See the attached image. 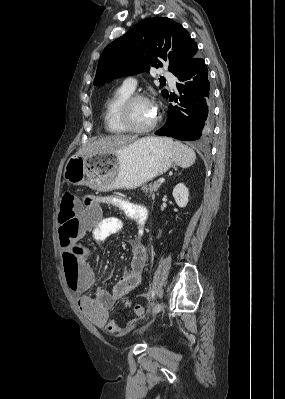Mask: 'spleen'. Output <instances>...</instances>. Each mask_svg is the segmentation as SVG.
<instances>
[{
    "label": "spleen",
    "instance_id": "3e777b00",
    "mask_svg": "<svg viewBox=\"0 0 285 399\" xmlns=\"http://www.w3.org/2000/svg\"><path fill=\"white\" fill-rule=\"evenodd\" d=\"M169 140V139H168ZM174 151L175 163L182 168H188L195 163L196 154L190 147L182 144L179 141L169 140Z\"/></svg>",
    "mask_w": 285,
    "mask_h": 399
}]
</instances>
